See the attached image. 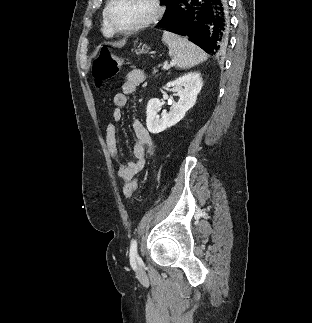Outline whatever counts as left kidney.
I'll use <instances>...</instances> for the list:
<instances>
[{
	"label": "left kidney",
	"mask_w": 312,
	"mask_h": 323,
	"mask_svg": "<svg viewBox=\"0 0 312 323\" xmlns=\"http://www.w3.org/2000/svg\"><path fill=\"white\" fill-rule=\"evenodd\" d=\"M202 78L199 72H189L185 76H180L174 82H168L166 88H175L177 96H179L178 104L171 106L170 112H163L159 116L163 104L160 100L152 98L147 104V128L151 134H160L167 128L175 126L180 120H183L186 112L194 106L197 96L202 88Z\"/></svg>",
	"instance_id": "obj_1"
}]
</instances>
